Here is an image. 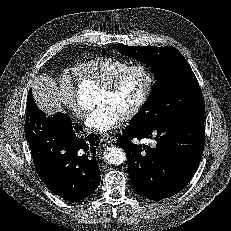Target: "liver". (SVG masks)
Segmentation results:
<instances>
[{"instance_id":"6515ba94","label":"liver","mask_w":231,"mask_h":231,"mask_svg":"<svg viewBox=\"0 0 231 231\" xmlns=\"http://www.w3.org/2000/svg\"><path fill=\"white\" fill-rule=\"evenodd\" d=\"M36 105L47 115L62 111L55 81L46 75L36 77L31 85Z\"/></svg>"}]
</instances>
